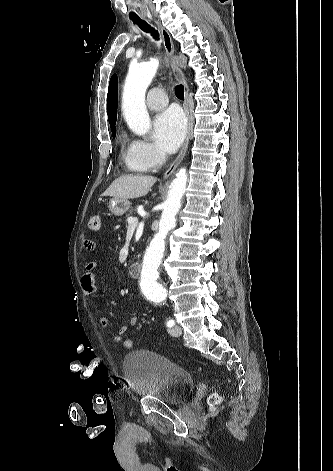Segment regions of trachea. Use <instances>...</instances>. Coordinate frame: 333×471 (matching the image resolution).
I'll use <instances>...</instances> for the list:
<instances>
[{"instance_id":"trachea-1","label":"trachea","mask_w":333,"mask_h":471,"mask_svg":"<svg viewBox=\"0 0 333 471\" xmlns=\"http://www.w3.org/2000/svg\"><path fill=\"white\" fill-rule=\"evenodd\" d=\"M134 23H136L141 30L147 33H151L154 38H158V32L154 30L146 21L144 20H133ZM175 95L177 98L180 100H184V86L183 85H177L175 87Z\"/></svg>"}]
</instances>
